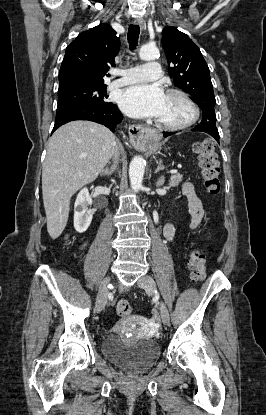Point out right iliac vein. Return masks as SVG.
Segmentation results:
<instances>
[{
	"label": "right iliac vein",
	"mask_w": 266,
	"mask_h": 415,
	"mask_svg": "<svg viewBox=\"0 0 266 415\" xmlns=\"http://www.w3.org/2000/svg\"><path fill=\"white\" fill-rule=\"evenodd\" d=\"M110 282V279H106L100 286L97 299H96V311L100 312L103 310L106 302H107V296H108V283Z\"/></svg>",
	"instance_id": "right-iliac-vein-1"
}]
</instances>
